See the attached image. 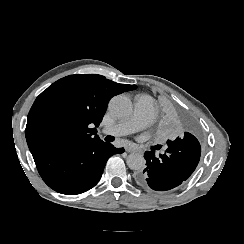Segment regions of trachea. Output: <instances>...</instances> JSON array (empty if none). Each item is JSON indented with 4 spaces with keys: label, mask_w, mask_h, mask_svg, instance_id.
<instances>
[{
    "label": "trachea",
    "mask_w": 244,
    "mask_h": 244,
    "mask_svg": "<svg viewBox=\"0 0 244 244\" xmlns=\"http://www.w3.org/2000/svg\"><path fill=\"white\" fill-rule=\"evenodd\" d=\"M106 138H107V139H106L107 142H111V141H112V140H111V136H107Z\"/></svg>",
    "instance_id": "trachea-1"
}]
</instances>
